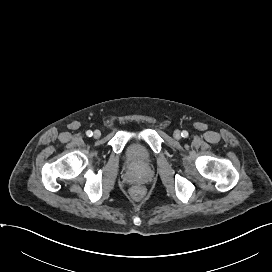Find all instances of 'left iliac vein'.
<instances>
[{"label":"left iliac vein","instance_id":"left-iliac-vein-1","mask_svg":"<svg viewBox=\"0 0 272 272\" xmlns=\"http://www.w3.org/2000/svg\"><path fill=\"white\" fill-rule=\"evenodd\" d=\"M174 138L175 139H180L181 138V133H180L179 130L174 131Z\"/></svg>","mask_w":272,"mask_h":272}]
</instances>
